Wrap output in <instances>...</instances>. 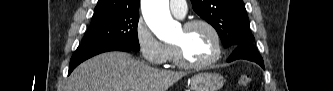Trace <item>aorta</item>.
<instances>
[{
  "label": "aorta",
  "instance_id": "1",
  "mask_svg": "<svg viewBox=\"0 0 333 91\" xmlns=\"http://www.w3.org/2000/svg\"><path fill=\"white\" fill-rule=\"evenodd\" d=\"M141 8L147 25L158 39L169 41L177 35L178 24L171 17L168 0H142Z\"/></svg>",
  "mask_w": 333,
  "mask_h": 91
}]
</instances>
